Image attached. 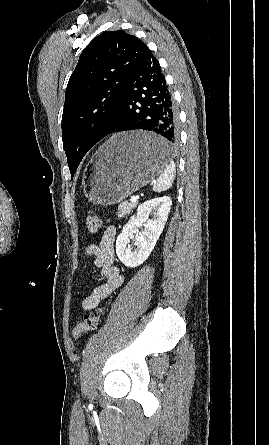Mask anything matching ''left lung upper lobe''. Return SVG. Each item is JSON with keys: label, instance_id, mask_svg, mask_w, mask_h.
Listing matches in <instances>:
<instances>
[{"label": "left lung upper lobe", "instance_id": "5c2ea615", "mask_svg": "<svg viewBox=\"0 0 269 445\" xmlns=\"http://www.w3.org/2000/svg\"><path fill=\"white\" fill-rule=\"evenodd\" d=\"M147 46L123 30L103 32L81 53L65 92L62 140L71 177L119 116L128 81Z\"/></svg>", "mask_w": 269, "mask_h": 445}]
</instances>
